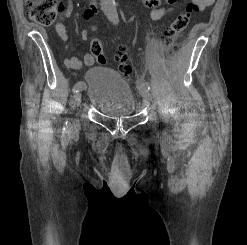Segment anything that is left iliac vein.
Returning <instances> with one entry per match:
<instances>
[{
    "instance_id": "1",
    "label": "left iliac vein",
    "mask_w": 247,
    "mask_h": 245,
    "mask_svg": "<svg viewBox=\"0 0 247 245\" xmlns=\"http://www.w3.org/2000/svg\"><path fill=\"white\" fill-rule=\"evenodd\" d=\"M139 90L144 102L149 104L151 101V94L147 91V88L143 85H140Z\"/></svg>"
}]
</instances>
